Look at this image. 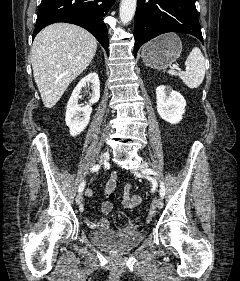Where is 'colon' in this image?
Returning a JSON list of instances; mask_svg holds the SVG:
<instances>
[{
	"mask_svg": "<svg viewBox=\"0 0 240 281\" xmlns=\"http://www.w3.org/2000/svg\"><path fill=\"white\" fill-rule=\"evenodd\" d=\"M109 199L114 198V189H107ZM115 226L120 230H132L135 228L134 223L124 214H116L114 218Z\"/></svg>",
	"mask_w": 240,
	"mask_h": 281,
	"instance_id": "obj_1",
	"label": "colon"
}]
</instances>
